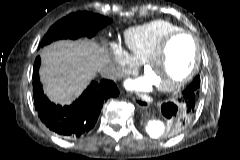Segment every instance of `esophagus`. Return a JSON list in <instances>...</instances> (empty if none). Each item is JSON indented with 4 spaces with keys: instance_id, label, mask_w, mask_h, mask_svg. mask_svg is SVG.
<instances>
[{
    "instance_id": "esophagus-1",
    "label": "esophagus",
    "mask_w": 240,
    "mask_h": 160,
    "mask_svg": "<svg viewBox=\"0 0 240 160\" xmlns=\"http://www.w3.org/2000/svg\"><path fill=\"white\" fill-rule=\"evenodd\" d=\"M132 101H133L137 106H139V107H141V108H146V107L149 106V102H148L146 99H144V98H140V97H135V96H133V97H132Z\"/></svg>"
}]
</instances>
